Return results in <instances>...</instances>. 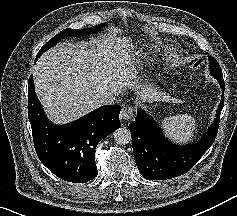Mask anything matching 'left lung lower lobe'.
<instances>
[{
  "label": "left lung lower lobe",
  "mask_w": 237,
  "mask_h": 216,
  "mask_svg": "<svg viewBox=\"0 0 237 216\" xmlns=\"http://www.w3.org/2000/svg\"><path fill=\"white\" fill-rule=\"evenodd\" d=\"M224 93V84H221ZM224 95L216 119L197 143L176 146L167 141L155 122L138 109L135 121L129 124L136 165L141 175L149 180H163L187 173L213 144L223 109Z\"/></svg>",
  "instance_id": "0a47b994"
}]
</instances>
